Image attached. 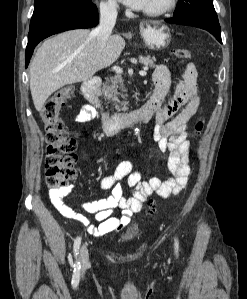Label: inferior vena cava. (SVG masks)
Returning <instances> with one entry per match:
<instances>
[{"label":"inferior vena cava","mask_w":247,"mask_h":299,"mask_svg":"<svg viewBox=\"0 0 247 299\" xmlns=\"http://www.w3.org/2000/svg\"><path fill=\"white\" fill-rule=\"evenodd\" d=\"M116 18H117L116 4L110 3V4L100 5L99 24L93 30V34L96 36L101 50H103L106 46L108 38L111 35L112 29L115 26Z\"/></svg>","instance_id":"inferior-vena-cava-1"}]
</instances>
